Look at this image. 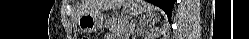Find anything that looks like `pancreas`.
Returning <instances> with one entry per match:
<instances>
[{
  "label": "pancreas",
  "mask_w": 249,
  "mask_h": 39,
  "mask_svg": "<svg viewBox=\"0 0 249 39\" xmlns=\"http://www.w3.org/2000/svg\"><path fill=\"white\" fill-rule=\"evenodd\" d=\"M105 27L122 39H125L130 33V25L127 17H112L106 20Z\"/></svg>",
  "instance_id": "pancreas-1"
}]
</instances>
